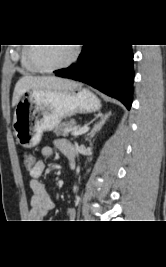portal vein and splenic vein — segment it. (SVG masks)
<instances>
[{
	"label": "portal vein and splenic vein",
	"instance_id": "1",
	"mask_svg": "<svg viewBox=\"0 0 166 267\" xmlns=\"http://www.w3.org/2000/svg\"><path fill=\"white\" fill-rule=\"evenodd\" d=\"M89 130V127L85 126L72 132V135L79 136L85 134Z\"/></svg>",
	"mask_w": 166,
	"mask_h": 267
}]
</instances>
